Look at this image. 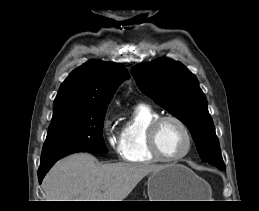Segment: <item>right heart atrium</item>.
<instances>
[{"mask_svg":"<svg viewBox=\"0 0 259 211\" xmlns=\"http://www.w3.org/2000/svg\"><path fill=\"white\" fill-rule=\"evenodd\" d=\"M103 132L106 137L107 144L109 147L118 155L122 153V142L119 134L114 128L112 119L109 116H106L102 123Z\"/></svg>","mask_w":259,"mask_h":211,"instance_id":"1","label":"right heart atrium"}]
</instances>
